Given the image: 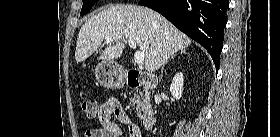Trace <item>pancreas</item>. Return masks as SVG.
Instances as JSON below:
<instances>
[{
	"mask_svg": "<svg viewBox=\"0 0 280 137\" xmlns=\"http://www.w3.org/2000/svg\"><path fill=\"white\" fill-rule=\"evenodd\" d=\"M130 103L136 108L137 116L141 119L142 113L151 110V104L148 93L135 92L130 98Z\"/></svg>",
	"mask_w": 280,
	"mask_h": 137,
	"instance_id": "pancreas-1",
	"label": "pancreas"
}]
</instances>
